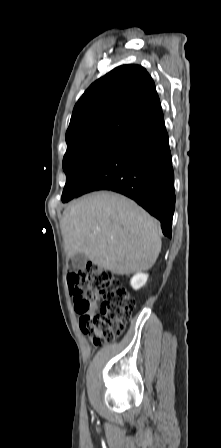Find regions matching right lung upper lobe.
Listing matches in <instances>:
<instances>
[{
    "label": "right lung upper lobe",
    "mask_w": 221,
    "mask_h": 448,
    "mask_svg": "<svg viewBox=\"0 0 221 448\" xmlns=\"http://www.w3.org/2000/svg\"><path fill=\"white\" fill-rule=\"evenodd\" d=\"M161 110L146 69L119 66L95 81L76 103L66 132L67 151L91 142L118 140Z\"/></svg>",
    "instance_id": "1"
}]
</instances>
